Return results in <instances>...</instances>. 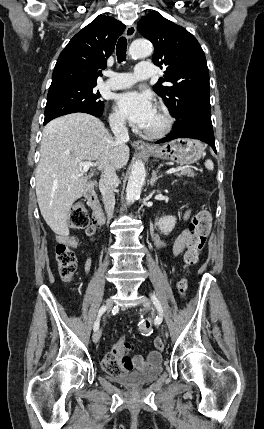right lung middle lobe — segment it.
I'll return each instance as SVG.
<instances>
[{
    "instance_id": "1",
    "label": "right lung middle lobe",
    "mask_w": 264,
    "mask_h": 429,
    "mask_svg": "<svg viewBox=\"0 0 264 429\" xmlns=\"http://www.w3.org/2000/svg\"><path fill=\"white\" fill-rule=\"evenodd\" d=\"M96 84H71L49 89L45 108V120L74 112H85L101 116L104 103L94 90Z\"/></svg>"
}]
</instances>
